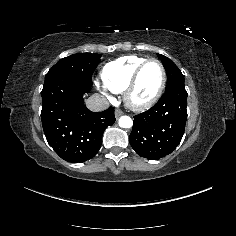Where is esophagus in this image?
I'll return each mask as SVG.
<instances>
[{
    "instance_id": "1",
    "label": "esophagus",
    "mask_w": 236,
    "mask_h": 236,
    "mask_svg": "<svg viewBox=\"0 0 236 236\" xmlns=\"http://www.w3.org/2000/svg\"><path fill=\"white\" fill-rule=\"evenodd\" d=\"M123 115V112L121 110H116L115 111V117L118 119L120 116Z\"/></svg>"
}]
</instances>
